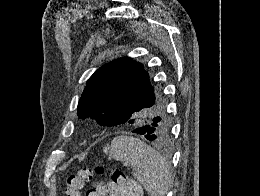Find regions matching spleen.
Wrapping results in <instances>:
<instances>
[{
	"label": "spleen",
	"instance_id": "obj_1",
	"mask_svg": "<svg viewBox=\"0 0 260 196\" xmlns=\"http://www.w3.org/2000/svg\"><path fill=\"white\" fill-rule=\"evenodd\" d=\"M117 162H126L149 196H165L172 184L170 166L157 150L133 136H117L103 148Z\"/></svg>",
	"mask_w": 260,
	"mask_h": 196
}]
</instances>
